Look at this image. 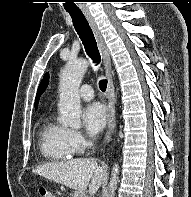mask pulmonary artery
<instances>
[{
	"label": "pulmonary artery",
	"mask_w": 191,
	"mask_h": 197,
	"mask_svg": "<svg viewBox=\"0 0 191 197\" xmlns=\"http://www.w3.org/2000/svg\"><path fill=\"white\" fill-rule=\"evenodd\" d=\"M79 95L82 99L87 101L93 99L94 93L92 87L88 84L82 85L81 88L79 89Z\"/></svg>",
	"instance_id": "e3ab8cb5"
}]
</instances>
